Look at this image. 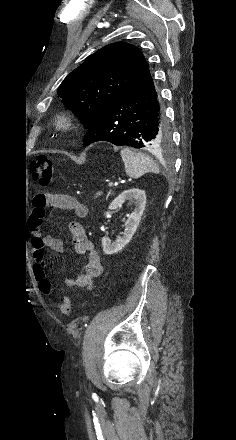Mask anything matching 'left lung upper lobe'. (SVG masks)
Wrapping results in <instances>:
<instances>
[{
	"instance_id": "obj_1",
	"label": "left lung upper lobe",
	"mask_w": 236,
	"mask_h": 440,
	"mask_svg": "<svg viewBox=\"0 0 236 440\" xmlns=\"http://www.w3.org/2000/svg\"><path fill=\"white\" fill-rule=\"evenodd\" d=\"M148 70L145 57L136 46L125 42L109 44L68 74L57 94L89 129Z\"/></svg>"
}]
</instances>
